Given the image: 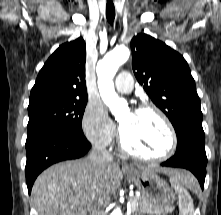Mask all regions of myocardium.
Here are the masks:
<instances>
[{
	"label": "myocardium",
	"instance_id": "1",
	"mask_svg": "<svg viewBox=\"0 0 221 215\" xmlns=\"http://www.w3.org/2000/svg\"><path fill=\"white\" fill-rule=\"evenodd\" d=\"M136 111L152 112L160 118V120L163 122V124L167 130L168 136H169L168 149L166 150V152H164L163 154H161L159 156H145V155L136 153V152L132 151L127 146V144L124 140L122 131L120 130L119 142H120V147H121L122 151L132 158L146 161V162H163V161L169 159L170 157H172L176 151V148H177V134H176L174 126H173L172 122L170 121V119L168 118V116L160 108H158L155 105H150V104L141 105L137 108Z\"/></svg>",
	"mask_w": 221,
	"mask_h": 215
}]
</instances>
